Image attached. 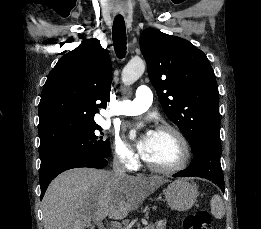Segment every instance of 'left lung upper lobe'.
Instances as JSON below:
<instances>
[{
	"label": "left lung upper lobe",
	"mask_w": 261,
	"mask_h": 229,
	"mask_svg": "<svg viewBox=\"0 0 261 229\" xmlns=\"http://www.w3.org/2000/svg\"><path fill=\"white\" fill-rule=\"evenodd\" d=\"M140 49L164 112L193 152L204 143L220 144L218 87L206 55L189 41L155 29L143 31Z\"/></svg>",
	"instance_id": "5c2ea615"
}]
</instances>
